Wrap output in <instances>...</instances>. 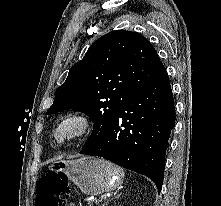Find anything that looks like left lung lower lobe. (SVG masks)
Segmentation results:
<instances>
[{
    "mask_svg": "<svg viewBox=\"0 0 221 206\" xmlns=\"http://www.w3.org/2000/svg\"><path fill=\"white\" fill-rule=\"evenodd\" d=\"M175 107L167 72L136 93L107 132L81 154L104 157L151 178L161 191Z\"/></svg>",
    "mask_w": 221,
    "mask_h": 206,
    "instance_id": "obj_1",
    "label": "left lung lower lobe"
}]
</instances>
